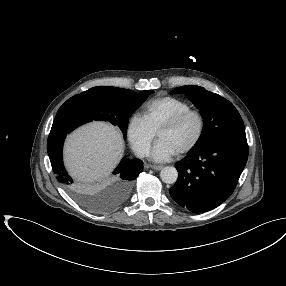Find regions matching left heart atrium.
I'll return each instance as SVG.
<instances>
[{"instance_id":"1","label":"left heart atrium","mask_w":286,"mask_h":286,"mask_svg":"<svg viewBox=\"0 0 286 286\" xmlns=\"http://www.w3.org/2000/svg\"><path fill=\"white\" fill-rule=\"evenodd\" d=\"M178 151L167 141L159 140L153 148L151 157L158 162H164L172 159Z\"/></svg>"}]
</instances>
